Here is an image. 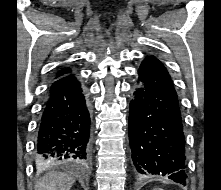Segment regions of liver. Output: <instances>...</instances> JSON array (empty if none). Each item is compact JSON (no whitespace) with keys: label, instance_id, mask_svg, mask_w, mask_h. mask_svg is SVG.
<instances>
[{"label":"liver","instance_id":"6515ba94","mask_svg":"<svg viewBox=\"0 0 221 190\" xmlns=\"http://www.w3.org/2000/svg\"><path fill=\"white\" fill-rule=\"evenodd\" d=\"M75 179L64 173L50 171L35 184V190H70Z\"/></svg>","mask_w":221,"mask_h":190}]
</instances>
